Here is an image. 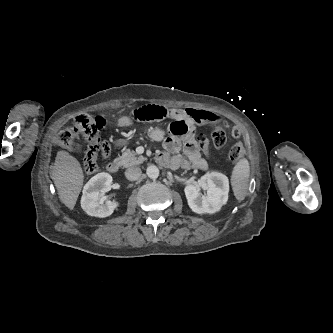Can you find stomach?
<instances>
[{
    "label": "stomach",
    "mask_w": 333,
    "mask_h": 333,
    "mask_svg": "<svg viewBox=\"0 0 333 333\" xmlns=\"http://www.w3.org/2000/svg\"><path fill=\"white\" fill-rule=\"evenodd\" d=\"M149 136L153 139V140H156V141H162L164 140V137H165V132L160 129V128H156V129H153V130H150L149 131ZM121 143H126L125 140H120Z\"/></svg>",
    "instance_id": "0dacf381"
}]
</instances>
